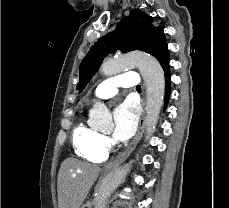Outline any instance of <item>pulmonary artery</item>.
Wrapping results in <instances>:
<instances>
[{
	"label": "pulmonary artery",
	"mask_w": 229,
	"mask_h": 208,
	"mask_svg": "<svg viewBox=\"0 0 229 208\" xmlns=\"http://www.w3.org/2000/svg\"><path fill=\"white\" fill-rule=\"evenodd\" d=\"M138 79L132 72L115 73L103 80L94 91V100L108 99L116 95L119 88L138 86Z\"/></svg>",
	"instance_id": "1"
}]
</instances>
